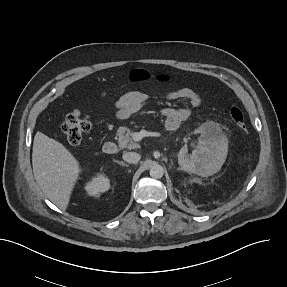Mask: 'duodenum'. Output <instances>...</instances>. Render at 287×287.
<instances>
[{
    "label": "duodenum",
    "instance_id": "obj_1",
    "mask_svg": "<svg viewBox=\"0 0 287 287\" xmlns=\"http://www.w3.org/2000/svg\"><path fill=\"white\" fill-rule=\"evenodd\" d=\"M117 150V145L112 141L107 142L104 146V152L109 155L115 154Z\"/></svg>",
    "mask_w": 287,
    "mask_h": 287
}]
</instances>
